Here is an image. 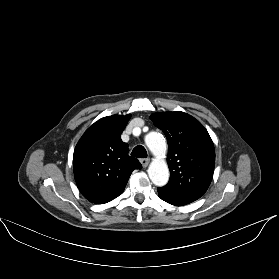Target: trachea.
Segmentation results:
<instances>
[{
    "label": "trachea",
    "instance_id": "1",
    "mask_svg": "<svg viewBox=\"0 0 279 279\" xmlns=\"http://www.w3.org/2000/svg\"><path fill=\"white\" fill-rule=\"evenodd\" d=\"M131 155L137 158H147V151L143 146L139 145L133 149Z\"/></svg>",
    "mask_w": 279,
    "mask_h": 279
}]
</instances>
